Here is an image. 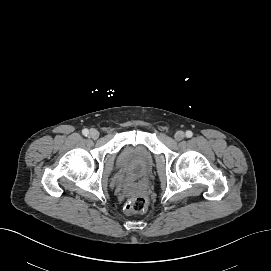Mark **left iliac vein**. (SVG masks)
<instances>
[{
    "label": "left iliac vein",
    "mask_w": 271,
    "mask_h": 271,
    "mask_svg": "<svg viewBox=\"0 0 271 271\" xmlns=\"http://www.w3.org/2000/svg\"><path fill=\"white\" fill-rule=\"evenodd\" d=\"M184 137H185V134L183 131H177L174 135V138L176 141H181L184 139Z\"/></svg>",
    "instance_id": "4c4485c4"
}]
</instances>
